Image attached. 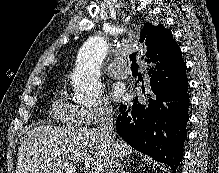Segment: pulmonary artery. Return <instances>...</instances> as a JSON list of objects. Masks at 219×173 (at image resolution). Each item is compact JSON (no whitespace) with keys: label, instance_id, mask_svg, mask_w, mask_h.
<instances>
[{"label":"pulmonary artery","instance_id":"pulmonary-artery-1","mask_svg":"<svg viewBox=\"0 0 219 173\" xmlns=\"http://www.w3.org/2000/svg\"><path fill=\"white\" fill-rule=\"evenodd\" d=\"M107 75L115 78V79H122L125 78L129 74L128 68H122L120 66V62L112 63L106 71Z\"/></svg>","mask_w":219,"mask_h":173}]
</instances>
